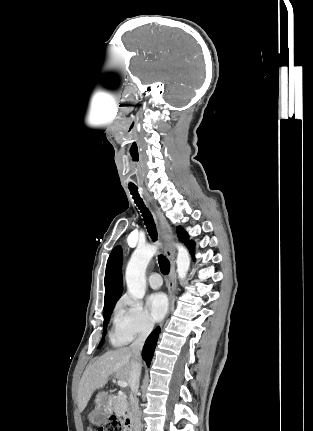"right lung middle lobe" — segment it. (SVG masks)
Wrapping results in <instances>:
<instances>
[{
    "label": "right lung middle lobe",
    "instance_id": "1",
    "mask_svg": "<svg viewBox=\"0 0 313 431\" xmlns=\"http://www.w3.org/2000/svg\"><path fill=\"white\" fill-rule=\"evenodd\" d=\"M115 304L116 303H114V304H112V305H110L108 307H104V328H103V335H105V333H106L107 325H108V322H109V319H110V315L112 313V310H113ZM100 346L101 345H99L98 348H100Z\"/></svg>",
    "mask_w": 313,
    "mask_h": 431
}]
</instances>
